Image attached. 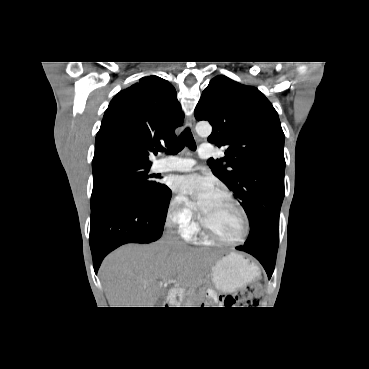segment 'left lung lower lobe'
<instances>
[{"instance_id":"left-lung-lower-lobe-1","label":"left lung lower lobe","mask_w":369,"mask_h":369,"mask_svg":"<svg viewBox=\"0 0 369 369\" xmlns=\"http://www.w3.org/2000/svg\"><path fill=\"white\" fill-rule=\"evenodd\" d=\"M236 249L245 251L253 255L263 265L268 275V278L269 279L271 278L275 267L278 248H273L270 246L250 247L243 245L236 247Z\"/></svg>"}]
</instances>
